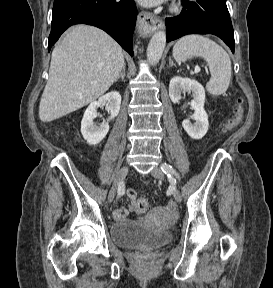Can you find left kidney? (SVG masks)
I'll return each instance as SVG.
<instances>
[{
  "label": "left kidney",
  "mask_w": 273,
  "mask_h": 288,
  "mask_svg": "<svg viewBox=\"0 0 273 288\" xmlns=\"http://www.w3.org/2000/svg\"><path fill=\"white\" fill-rule=\"evenodd\" d=\"M191 91L193 100L191 102L194 115L191 117L195 120L192 124L189 119L182 122V126L187 134L193 139H201L208 130V115L204 109L205 90L196 80L183 78L180 76L173 77L169 84V96L173 103H178L181 99V93Z\"/></svg>",
  "instance_id": "5707ae66"
}]
</instances>
